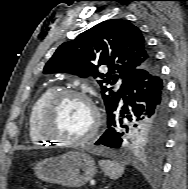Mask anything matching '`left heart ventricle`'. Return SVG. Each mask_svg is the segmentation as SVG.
<instances>
[{
    "label": "left heart ventricle",
    "instance_id": "1",
    "mask_svg": "<svg viewBox=\"0 0 188 189\" xmlns=\"http://www.w3.org/2000/svg\"><path fill=\"white\" fill-rule=\"evenodd\" d=\"M93 124L88 104L76 98L64 100L55 112L52 130L64 138L76 139L86 135Z\"/></svg>",
    "mask_w": 188,
    "mask_h": 189
}]
</instances>
